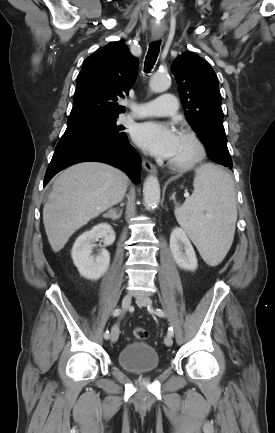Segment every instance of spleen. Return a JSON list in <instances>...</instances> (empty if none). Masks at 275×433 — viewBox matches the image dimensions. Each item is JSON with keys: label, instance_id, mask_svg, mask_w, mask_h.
<instances>
[{"label": "spleen", "instance_id": "obj_1", "mask_svg": "<svg viewBox=\"0 0 275 433\" xmlns=\"http://www.w3.org/2000/svg\"><path fill=\"white\" fill-rule=\"evenodd\" d=\"M194 192L175 216L180 226L211 266L218 265L229 251L237 220L236 196L231 176L213 164L196 170Z\"/></svg>", "mask_w": 275, "mask_h": 433}]
</instances>
